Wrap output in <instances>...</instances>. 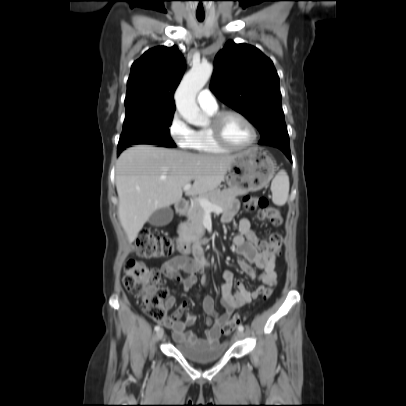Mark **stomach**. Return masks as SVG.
Masks as SVG:
<instances>
[{
    "mask_svg": "<svg viewBox=\"0 0 406 406\" xmlns=\"http://www.w3.org/2000/svg\"><path fill=\"white\" fill-rule=\"evenodd\" d=\"M275 171L273 158L262 148L252 147L237 154L227 171L226 181L231 188L254 192L264 188Z\"/></svg>",
    "mask_w": 406,
    "mask_h": 406,
    "instance_id": "obj_1",
    "label": "stomach"
}]
</instances>
